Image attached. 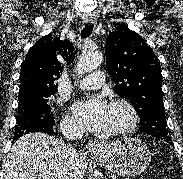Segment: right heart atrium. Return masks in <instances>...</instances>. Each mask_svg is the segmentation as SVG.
Returning a JSON list of instances; mask_svg holds the SVG:
<instances>
[{
	"mask_svg": "<svg viewBox=\"0 0 183 179\" xmlns=\"http://www.w3.org/2000/svg\"><path fill=\"white\" fill-rule=\"evenodd\" d=\"M61 126L66 133H76L82 129L80 123L73 117H66Z\"/></svg>",
	"mask_w": 183,
	"mask_h": 179,
	"instance_id": "right-heart-atrium-1",
	"label": "right heart atrium"
}]
</instances>
